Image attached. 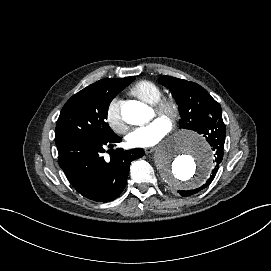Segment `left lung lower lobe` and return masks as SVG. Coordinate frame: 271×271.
Segmentation results:
<instances>
[{
  "label": "left lung lower lobe",
  "mask_w": 271,
  "mask_h": 271,
  "mask_svg": "<svg viewBox=\"0 0 271 271\" xmlns=\"http://www.w3.org/2000/svg\"><path fill=\"white\" fill-rule=\"evenodd\" d=\"M199 134H203L206 138L207 142L210 144L212 149L215 152V168L212 170V174L210 175L209 179L206 181L204 185L200 188L195 190L189 191H179L181 196H190L198 191L206 188L214 179L217 170L219 169V165L223 159V149H224V141L226 136V127L221 116H216L215 118L211 119L207 124L201 126L197 129Z\"/></svg>",
  "instance_id": "obj_1"
}]
</instances>
